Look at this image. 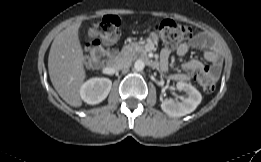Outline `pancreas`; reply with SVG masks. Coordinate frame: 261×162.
I'll return each instance as SVG.
<instances>
[{
	"label": "pancreas",
	"mask_w": 261,
	"mask_h": 162,
	"mask_svg": "<svg viewBox=\"0 0 261 162\" xmlns=\"http://www.w3.org/2000/svg\"><path fill=\"white\" fill-rule=\"evenodd\" d=\"M137 53L146 54L144 46L138 42H132V43L124 46V48L122 49V51L120 53V57L121 58L122 57L132 58Z\"/></svg>",
	"instance_id": "1"
}]
</instances>
